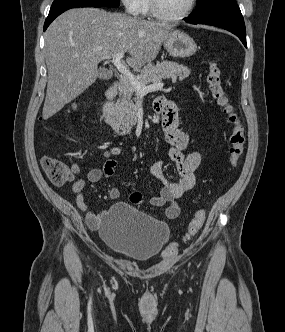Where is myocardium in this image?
<instances>
[{"label":"myocardium","instance_id":"obj_1","mask_svg":"<svg viewBox=\"0 0 285 332\" xmlns=\"http://www.w3.org/2000/svg\"><path fill=\"white\" fill-rule=\"evenodd\" d=\"M196 4L197 0H190L189 6L183 13L177 16H169L161 11L158 0H150V10L153 17H155L158 20L165 22H177L188 17L196 7Z\"/></svg>","mask_w":285,"mask_h":332}]
</instances>
